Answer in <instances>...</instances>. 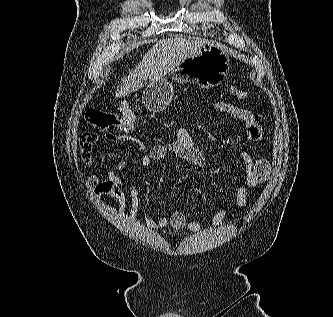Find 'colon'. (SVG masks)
I'll return each instance as SVG.
<instances>
[{
    "label": "colon",
    "mask_w": 333,
    "mask_h": 317,
    "mask_svg": "<svg viewBox=\"0 0 333 317\" xmlns=\"http://www.w3.org/2000/svg\"><path fill=\"white\" fill-rule=\"evenodd\" d=\"M231 93L238 99H246L248 93L237 88H232ZM85 123L87 126L100 130H117L120 132H128L134 128L136 115L127 103L121 104L117 111H109L94 108L86 112Z\"/></svg>",
    "instance_id": "colon-1"
}]
</instances>
